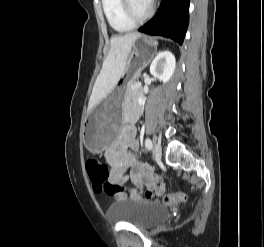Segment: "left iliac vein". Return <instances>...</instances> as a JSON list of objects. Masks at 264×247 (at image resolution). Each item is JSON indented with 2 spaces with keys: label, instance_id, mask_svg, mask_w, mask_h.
I'll return each instance as SVG.
<instances>
[{
  "label": "left iliac vein",
  "instance_id": "4c4485c4",
  "mask_svg": "<svg viewBox=\"0 0 264 247\" xmlns=\"http://www.w3.org/2000/svg\"><path fill=\"white\" fill-rule=\"evenodd\" d=\"M152 154H153L154 158H156V159H160L161 158L162 149H161V146L159 144H155L153 146Z\"/></svg>",
  "mask_w": 264,
  "mask_h": 247
}]
</instances>
